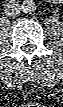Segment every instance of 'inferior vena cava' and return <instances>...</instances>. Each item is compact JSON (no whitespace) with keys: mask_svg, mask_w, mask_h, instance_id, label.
<instances>
[{"mask_svg":"<svg viewBox=\"0 0 63 107\" xmlns=\"http://www.w3.org/2000/svg\"><path fill=\"white\" fill-rule=\"evenodd\" d=\"M21 6L18 1L11 0L5 4L4 13L7 16L14 17L20 13Z\"/></svg>","mask_w":63,"mask_h":107,"instance_id":"obj_1","label":"inferior vena cava"}]
</instances>
